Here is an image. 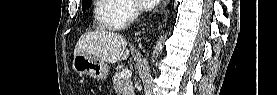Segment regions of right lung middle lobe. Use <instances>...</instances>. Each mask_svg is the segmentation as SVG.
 <instances>
[{
    "label": "right lung middle lobe",
    "instance_id": "right-lung-middle-lobe-1",
    "mask_svg": "<svg viewBox=\"0 0 277 95\" xmlns=\"http://www.w3.org/2000/svg\"><path fill=\"white\" fill-rule=\"evenodd\" d=\"M92 0H85L82 2V10L85 12V9L90 6Z\"/></svg>",
    "mask_w": 277,
    "mask_h": 95
}]
</instances>
